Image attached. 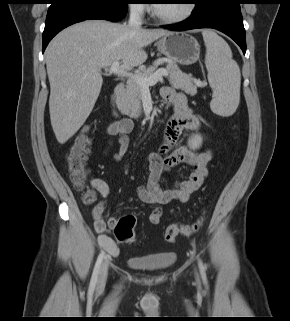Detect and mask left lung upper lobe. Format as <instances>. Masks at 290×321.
I'll use <instances>...</instances> for the list:
<instances>
[{
	"label": "left lung upper lobe",
	"instance_id": "obj_1",
	"mask_svg": "<svg viewBox=\"0 0 290 321\" xmlns=\"http://www.w3.org/2000/svg\"><path fill=\"white\" fill-rule=\"evenodd\" d=\"M193 3L196 5L194 10H197L204 5H206L210 0H192Z\"/></svg>",
	"mask_w": 290,
	"mask_h": 321
}]
</instances>
